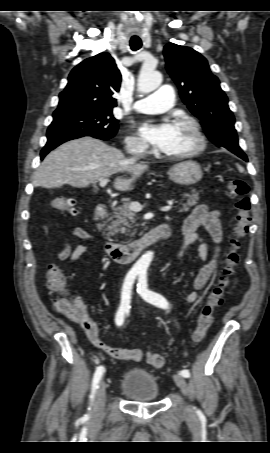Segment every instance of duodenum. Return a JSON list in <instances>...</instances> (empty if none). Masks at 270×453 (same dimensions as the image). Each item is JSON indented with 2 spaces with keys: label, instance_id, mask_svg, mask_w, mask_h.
Returning a JSON list of instances; mask_svg holds the SVG:
<instances>
[{
  "label": "duodenum",
  "instance_id": "duodenum-1",
  "mask_svg": "<svg viewBox=\"0 0 270 453\" xmlns=\"http://www.w3.org/2000/svg\"><path fill=\"white\" fill-rule=\"evenodd\" d=\"M108 207L104 204H99L96 209V214L99 219L106 217ZM173 227L170 224L164 223L153 230L149 231L143 237L128 244H118L108 242L104 246L106 254L117 263H127L136 259L141 252L155 244L158 241L165 240L172 232Z\"/></svg>",
  "mask_w": 270,
  "mask_h": 453
}]
</instances>
